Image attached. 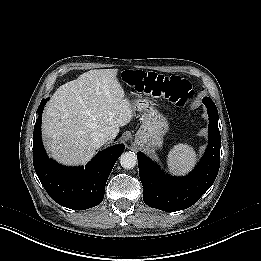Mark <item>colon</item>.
<instances>
[{
    "instance_id": "1",
    "label": "colon",
    "mask_w": 261,
    "mask_h": 261,
    "mask_svg": "<svg viewBox=\"0 0 261 261\" xmlns=\"http://www.w3.org/2000/svg\"><path fill=\"white\" fill-rule=\"evenodd\" d=\"M131 82L142 92L163 97L178 107H185L193 97L190 84L179 76L164 77L155 72L136 70L131 72Z\"/></svg>"
}]
</instances>
